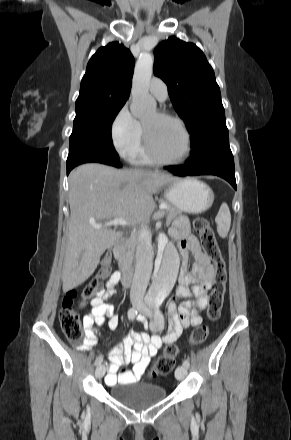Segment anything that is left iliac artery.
Here are the masks:
<instances>
[{
    "instance_id": "44dca946",
    "label": "left iliac artery",
    "mask_w": 291,
    "mask_h": 440,
    "mask_svg": "<svg viewBox=\"0 0 291 440\" xmlns=\"http://www.w3.org/2000/svg\"><path fill=\"white\" fill-rule=\"evenodd\" d=\"M156 320H157V325H158V326H160V327H163V326H164L163 318H162V316H161V314H160V312H159L158 309L156 310ZM183 365H184L185 367L189 368L190 363H189L188 360H184V361H183Z\"/></svg>"
}]
</instances>
